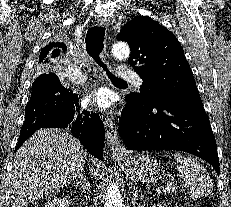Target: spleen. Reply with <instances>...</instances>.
<instances>
[{"mask_svg": "<svg viewBox=\"0 0 231 207\" xmlns=\"http://www.w3.org/2000/svg\"><path fill=\"white\" fill-rule=\"evenodd\" d=\"M177 169L186 186L190 187L189 196L192 199H200L213 191V183L206 169L192 156H186L179 152L174 154Z\"/></svg>", "mask_w": 231, "mask_h": 207, "instance_id": "spleen-1", "label": "spleen"}]
</instances>
